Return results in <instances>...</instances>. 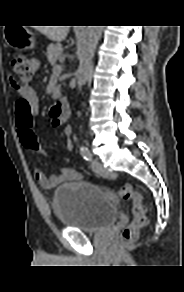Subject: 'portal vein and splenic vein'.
<instances>
[{
    "label": "portal vein and splenic vein",
    "mask_w": 184,
    "mask_h": 292,
    "mask_svg": "<svg viewBox=\"0 0 184 292\" xmlns=\"http://www.w3.org/2000/svg\"><path fill=\"white\" fill-rule=\"evenodd\" d=\"M54 70L60 72L62 70V66L61 65H57L54 67Z\"/></svg>",
    "instance_id": "18ae733b"
}]
</instances>
